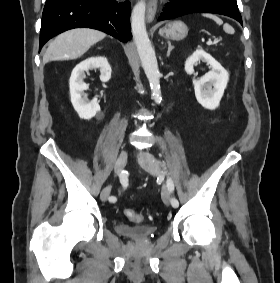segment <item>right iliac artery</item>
<instances>
[{"label":"right iliac artery","instance_id":"82829eb1","mask_svg":"<svg viewBox=\"0 0 280 283\" xmlns=\"http://www.w3.org/2000/svg\"><path fill=\"white\" fill-rule=\"evenodd\" d=\"M119 179H120V183L123 185V186H126L127 185V176L125 174V171H121L120 174H119ZM109 201L111 203H115L117 201V198L115 196H111L109 197Z\"/></svg>","mask_w":280,"mask_h":283}]
</instances>
